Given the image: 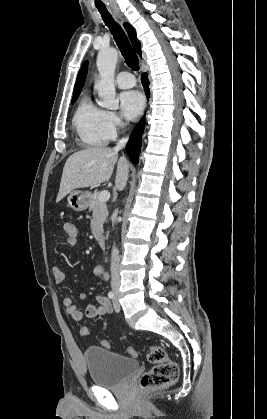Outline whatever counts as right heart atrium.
<instances>
[{"label": "right heart atrium", "instance_id": "d8ad5b80", "mask_svg": "<svg viewBox=\"0 0 267 419\" xmlns=\"http://www.w3.org/2000/svg\"><path fill=\"white\" fill-rule=\"evenodd\" d=\"M122 127L123 122L114 112H105V130L109 139L115 138Z\"/></svg>", "mask_w": 267, "mask_h": 419}]
</instances>
